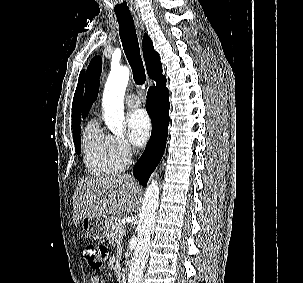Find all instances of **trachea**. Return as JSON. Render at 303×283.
I'll return each instance as SVG.
<instances>
[{
	"label": "trachea",
	"instance_id": "trachea-1",
	"mask_svg": "<svg viewBox=\"0 0 303 283\" xmlns=\"http://www.w3.org/2000/svg\"><path fill=\"white\" fill-rule=\"evenodd\" d=\"M119 34L136 85L145 87L146 74L140 55L136 29L131 16L117 15Z\"/></svg>",
	"mask_w": 303,
	"mask_h": 283
}]
</instances>
